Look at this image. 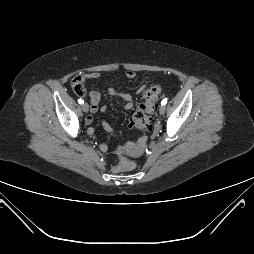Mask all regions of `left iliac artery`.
Returning a JSON list of instances; mask_svg holds the SVG:
<instances>
[{"label":"left iliac artery","mask_w":254,"mask_h":254,"mask_svg":"<svg viewBox=\"0 0 254 254\" xmlns=\"http://www.w3.org/2000/svg\"><path fill=\"white\" fill-rule=\"evenodd\" d=\"M166 103H167V98H164V99L161 101V105H162V106H165Z\"/></svg>","instance_id":"1"}]
</instances>
